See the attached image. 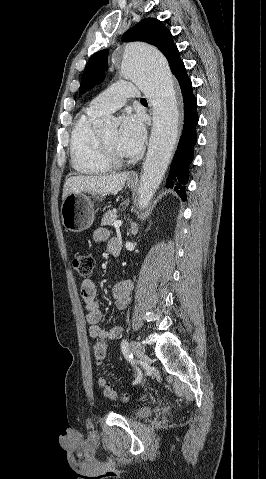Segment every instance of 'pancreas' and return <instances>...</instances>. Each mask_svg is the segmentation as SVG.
<instances>
[{"label": "pancreas", "instance_id": "pancreas-1", "mask_svg": "<svg viewBox=\"0 0 266 479\" xmlns=\"http://www.w3.org/2000/svg\"><path fill=\"white\" fill-rule=\"evenodd\" d=\"M117 220V214L115 210L107 211L102 218V225L112 226L113 223Z\"/></svg>", "mask_w": 266, "mask_h": 479}]
</instances>
